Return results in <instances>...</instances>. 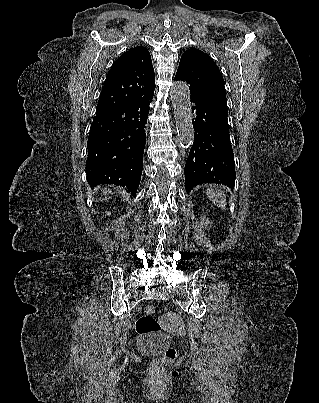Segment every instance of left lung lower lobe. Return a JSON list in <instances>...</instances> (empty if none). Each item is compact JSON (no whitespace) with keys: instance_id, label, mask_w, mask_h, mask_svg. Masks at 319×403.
<instances>
[{"instance_id":"obj_1","label":"left lung lower lobe","mask_w":319,"mask_h":403,"mask_svg":"<svg viewBox=\"0 0 319 403\" xmlns=\"http://www.w3.org/2000/svg\"><path fill=\"white\" fill-rule=\"evenodd\" d=\"M175 79L184 80L179 74ZM195 130L194 142L185 165V189L203 183L235 184V162L227 120L226 95L189 85Z\"/></svg>"}]
</instances>
